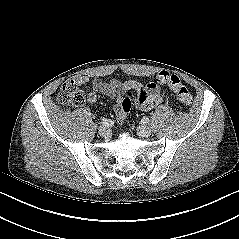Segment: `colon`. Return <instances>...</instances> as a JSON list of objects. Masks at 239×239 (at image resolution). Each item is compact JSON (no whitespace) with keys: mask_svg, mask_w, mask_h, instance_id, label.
Here are the masks:
<instances>
[{"mask_svg":"<svg viewBox=\"0 0 239 239\" xmlns=\"http://www.w3.org/2000/svg\"><path fill=\"white\" fill-rule=\"evenodd\" d=\"M153 80L156 83H167L181 103L185 105H190L192 103L191 93L177 75L168 71H161L154 75ZM57 100L63 105L81 106L86 101V95L75 80L68 79L62 84ZM131 106L132 92L126 91V96L119 105V124H122L125 121Z\"/></svg>","mask_w":239,"mask_h":239,"instance_id":"5ec220e1","label":"colon"}]
</instances>
